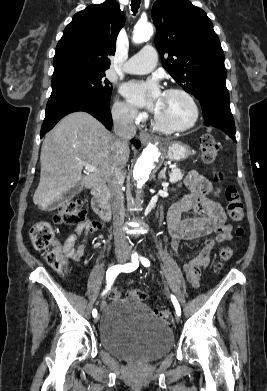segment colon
<instances>
[{
	"label": "colon",
	"instance_id": "1",
	"mask_svg": "<svg viewBox=\"0 0 267 391\" xmlns=\"http://www.w3.org/2000/svg\"><path fill=\"white\" fill-rule=\"evenodd\" d=\"M200 147L202 159L205 163H212L218 154V143L212 135H203L200 139ZM216 180L220 178V174H216ZM227 203V210L229 217L235 221L240 222L244 217L243 204L234 186H228L224 192ZM84 220L81 210V203L77 199H67L62 201L56 208L54 213V221L64 225H74ZM243 228L236 229V235H243ZM30 239L35 249L46 252V260L48 264L55 270H62L65 261L60 248L58 247L55 230L50 223L40 221L35 223L30 230ZM233 255L231 246H223L219 250L220 261L216 264V269L222 267L224 261L229 260ZM120 291L114 288L110 291L109 297L117 299L120 297ZM128 296L138 301H144L146 294L139 289H133L128 293ZM155 314L166 324H171L172 314L168 310H157Z\"/></svg>",
	"mask_w": 267,
	"mask_h": 391
}]
</instances>
